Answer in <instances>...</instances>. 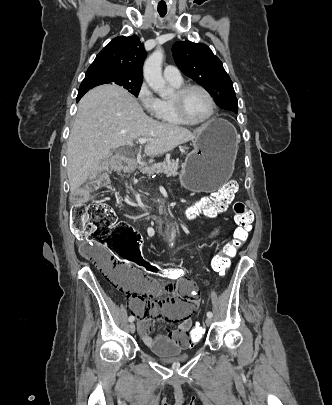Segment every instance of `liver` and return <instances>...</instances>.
<instances>
[{
	"label": "liver",
	"instance_id": "liver-1",
	"mask_svg": "<svg viewBox=\"0 0 332 405\" xmlns=\"http://www.w3.org/2000/svg\"><path fill=\"white\" fill-rule=\"evenodd\" d=\"M200 132L197 129L192 133L148 117L137 100L121 87H96L80 100L68 139L70 192L96 173L101 162H108L112 150L132 145L137 138L148 139L144 148L147 156H157L194 140Z\"/></svg>",
	"mask_w": 332,
	"mask_h": 405
}]
</instances>
